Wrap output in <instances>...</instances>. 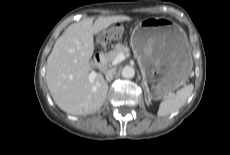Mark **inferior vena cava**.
I'll return each instance as SVG.
<instances>
[{
    "instance_id": "1",
    "label": "inferior vena cava",
    "mask_w": 230,
    "mask_h": 155,
    "mask_svg": "<svg viewBox=\"0 0 230 155\" xmlns=\"http://www.w3.org/2000/svg\"><path fill=\"white\" fill-rule=\"evenodd\" d=\"M115 72H116L115 69H111V70L107 71L106 75H105L106 80L111 81L113 79V77H114Z\"/></svg>"
}]
</instances>
